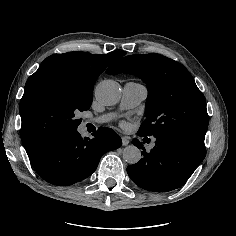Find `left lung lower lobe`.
I'll return each mask as SVG.
<instances>
[{
    "label": "left lung lower lobe",
    "instance_id": "left-lung-lower-lobe-1",
    "mask_svg": "<svg viewBox=\"0 0 236 236\" xmlns=\"http://www.w3.org/2000/svg\"><path fill=\"white\" fill-rule=\"evenodd\" d=\"M154 137L155 146L150 152L145 150L138 139L132 140L136 147L143 149V158L128 166L127 173L134 183L145 190L167 192L177 189L203 161L206 155L205 145L168 133ZM146 139L144 138L145 142Z\"/></svg>",
    "mask_w": 236,
    "mask_h": 236
}]
</instances>
